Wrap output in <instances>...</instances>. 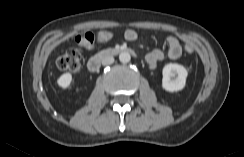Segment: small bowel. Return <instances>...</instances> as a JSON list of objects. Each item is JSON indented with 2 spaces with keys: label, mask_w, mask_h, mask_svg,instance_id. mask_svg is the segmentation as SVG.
<instances>
[{
  "label": "small bowel",
  "mask_w": 244,
  "mask_h": 157,
  "mask_svg": "<svg viewBox=\"0 0 244 157\" xmlns=\"http://www.w3.org/2000/svg\"><path fill=\"white\" fill-rule=\"evenodd\" d=\"M124 37L127 41H135L138 37L137 32L133 29H128L124 33ZM168 51L165 54L160 49H154L146 55V62L151 69L156 68L157 63L164 60L166 57L171 60L178 59L182 54V46L179 39L175 36H169L167 38Z\"/></svg>",
  "instance_id": "1"
}]
</instances>
